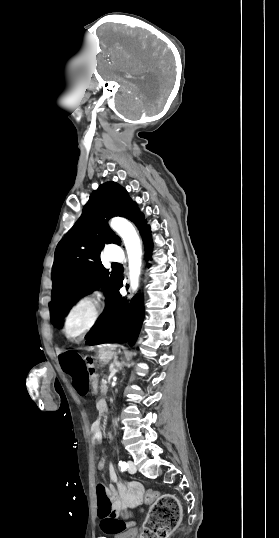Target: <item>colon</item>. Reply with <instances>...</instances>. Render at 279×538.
Instances as JSON below:
<instances>
[{"label":"colon","instance_id":"5ec220e1","mask_svg":"<svg viewBox=\"0 0 279 538\" xmlns=\"http://www.w3.org/2000/svg\"><path fill=\"white\" fill-rule=\"evenodd\" d=\"M98 512L101 517H109L113 513L112 503L107 488L99 483L96 487ZM146 500L152 503L148 518L144 525L142 538H168L181 518V505L171 494L159 496L149 491Z\"/></svg>","mask_w":279,"mask_h":538}]
</instances>
